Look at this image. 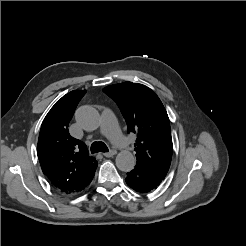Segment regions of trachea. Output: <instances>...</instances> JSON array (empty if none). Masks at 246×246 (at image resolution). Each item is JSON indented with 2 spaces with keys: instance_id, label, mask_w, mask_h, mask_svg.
Wrapping results in <instances>:
<instances>
[{
  "instance_id": "1",
  "label": "trachea",
  "mask_w": 246,
  "mask_h": 246,
  "mask_svg": "<svg viewBox=\"0 0 246 246\" xmlns=\"http://www.w3.org/2000/svg\"><path fill=\"white\" fill-rule=\"evenodd\" d=\"M108 147L104 142H93L91 145V153H98V152H108Z\"/></svg>"
}]
</instances>
